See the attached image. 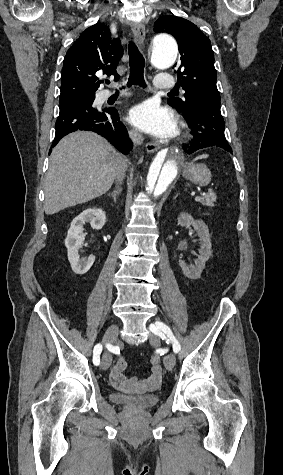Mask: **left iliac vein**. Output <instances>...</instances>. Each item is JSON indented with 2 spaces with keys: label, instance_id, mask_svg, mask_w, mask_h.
I'll list each match as a JSON object with an SVG mask.
<instances>
[{
  "label": "left iliac vein",
  "instance_id": "1",
  "mask_svg": "<svg viewBox=\"0 0 283 475\" xmlns=\"http://www.w3.org/2000/svg\"><path fill=\"white\" fill-rule=\"evenodd\" d=\"M154 326L156 327V325H154ZM149 339H150V342L153 345L158 346L160 344V339H159L157 334H150ZM163 363H164L167 370H172L175 367V356H174V354L166 355L163 358Z\"/></svg>",
  "mask_w": 283,
  "mask_h": 475
}]
</instances>
